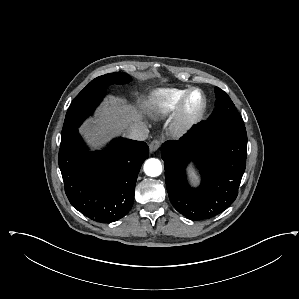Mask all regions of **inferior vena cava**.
<instances>
[{
	"instance_id": "inferior-vena-cava-1",
	"label": "inferior vena cava",
	"mask_w": 299,
	"mask_h": 299,
	"mask_svg": "<svg viewBox=\"0 0 299 299\" xmlns=\"http://www.w3.org/2000/svg\"><path fill=\"white\" fill-rule=\"evenodd\" d=\"M149 134L148 128L142 124H134L129 128L127 136L133 140L143 141L146 140Z\"/></svg>"
}]
</instances>
